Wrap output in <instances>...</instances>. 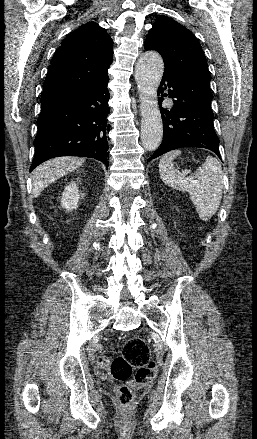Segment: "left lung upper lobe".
Masks as SVG:
<instances>
[{"mask_svg":"<svg viewBox=\"0 0 257 439\" xmlns=\"http://www.w3.org/2000/svg\"><path fill=\"white\" fill-rule=\"evenodd\" d=\"M144 48L162 55L164 74L178 78L212 100L207 60L200 43L187 28L169 17L160 16L150 29Z\"/></svg>","mask_w":257,"mask_h":439,"instance_id":"left-lung-upper-lobe-1","label":"left lung upper lobe"}]
</instances>
